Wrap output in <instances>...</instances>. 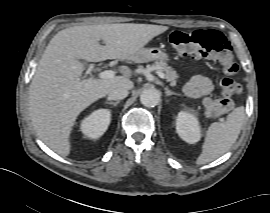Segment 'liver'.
Instances as JSON below:
<instances>
[{
	"label": "liver",
	"mask_w": 270,
	"mask_h": 213,
	"mask_svg": "<svg viewBox=\"0 0 270 213\" xmlns=\"http://www.w3.org/2000/svg\"><path fill=\"white\" fill-rule=\"evenodd\" d=\"M167 30V26L127 23L59 31L46 47L29 90V114L39 138L57 154L68 156L78 115L113 89L134 88L129 70L110 79L81 80L84 65L80 60L133 61L141 48Z\"/></svg>",
	"instance_id": "6515ba94"
}]
</instances>
